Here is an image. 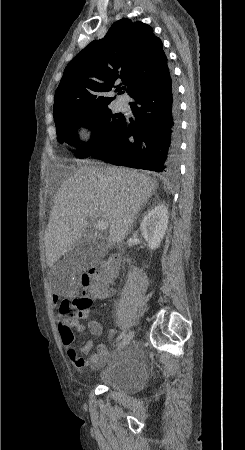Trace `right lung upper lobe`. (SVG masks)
Here are the masks:
<instances>
[{"mask_svg":"<svg viewBox=\"0 0 245 450\" xmlns=\"http://www.w3.org/2000/svg\"><path fill=\"white\" fill-rule=\"evenodd\" d=\"M167 68L162 42L149 25L127 18L116 22L103 40H95L67 65L55 92L54 108L107 106V95L124 85L132 97ZM119 94L121 88L116 89Z\"/></svg>","mask_w":245,"mask_h":450,"instance_id":"right-lung-upper-lobe-1","label":"right lung upper lobe"}]
</instances>
